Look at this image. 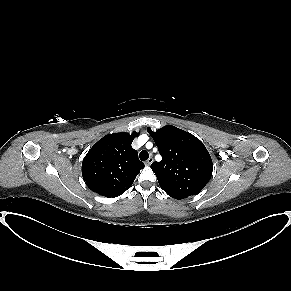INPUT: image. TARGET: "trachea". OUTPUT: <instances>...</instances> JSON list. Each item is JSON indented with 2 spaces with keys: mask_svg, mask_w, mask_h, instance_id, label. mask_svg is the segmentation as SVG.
<instances>
[{
  "mask_svg": "<svg viewBox=\"0 0 291 291\" xmlns=\"http://www.w3.org/2000/svg\"><path fill=\"white\" fill-rule=\"evenodd\" d=\"M139 157L142 161H146L149 158V154L147 151L143 150L140 152Z\"/></svg>",
  "mask_w": 291,
  "mask_h": 291,
  "instance_id": "3493384b",
  "label": "trachea"
}]
</instances>
